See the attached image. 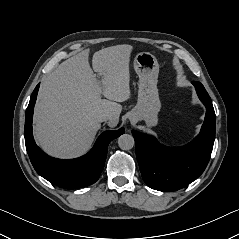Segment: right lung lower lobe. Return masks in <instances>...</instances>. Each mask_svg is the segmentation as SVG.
<instances>
[{
    "mask_svg": "<svg viewBox=\"0 0 239 239\" xmlns=\"http://www.w3.org/2000/svg\"><path fill=\"white\" fill-rule=\"evenodd\" d=\"M39 84L34 89L25 115V144L36 172L50 183L64 189H78L95 183L105 164L109 143L125 131L103 132L92 150L76 159H56L48 156L36 145L32 134V117Z\"/></svg>",
    "mask_w": 239,
    "mask_h": 239,
    "instance_id": "1",
    "label": "right lung lower lobe"
}]
</instances>
